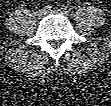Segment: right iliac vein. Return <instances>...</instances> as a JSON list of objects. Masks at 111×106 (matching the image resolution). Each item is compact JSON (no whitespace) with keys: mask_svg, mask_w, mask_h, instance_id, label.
I'll return each instance as SVG.
<instances>
[{"mask_svg":"<svg viewBox=\"0 0 111 106\" xmlns=\"http://www.w3.org/2000/svg\"><path fill=\"white\" fill-rule=\"evenodd\" d=\"M46 14H47V11H46L45 9H40V10L37 12V16H38L39 18L44 17Z\"/></svg>","mask_w":111,"mask_h":106,"instance_id":"right-iliac-vein-1","label":"right iliac vein"}]
</instances>
